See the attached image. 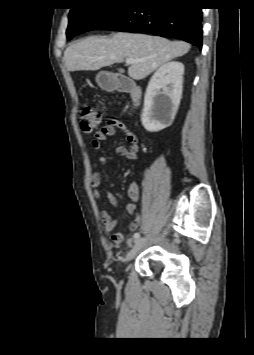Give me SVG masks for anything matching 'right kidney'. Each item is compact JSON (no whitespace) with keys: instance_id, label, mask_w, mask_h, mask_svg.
<instances>
[{"instance_id":"ca27d5eb","label":"right kidney","mask_w":254,"mask_h":355,"mask_svg":"<svg viewBox=\"0 0 254 355\" xmlns=\"http://www.w3.org/2000/svg\"><path fill=\"white\" fill-rule=\"evenodd\" d=\"M184 65L171 61L161 65L148 83L141 121L149 132L170 126L182 95Z\"/></svg>"}]
</instances>
